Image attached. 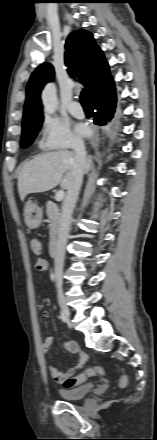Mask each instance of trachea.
Instances as JSON below:
<instances>
[{
    "label": "trachea",
    "mask_w": 157,
    "mask_h": 440,
    "mask_svg": "<svg viewBox=\"0 0 157 440\" xmlns=\"http://www.w3.org/2000/svg\"><path fill=\"white\" fill-rule=\"evenodd\" d=\"M80 102L86 113H93V105L89 95L83 90L80 95Z\"/></svg>",
    "instance_id": "3493384b"
}]
</instances>
